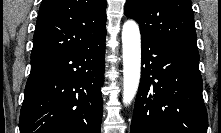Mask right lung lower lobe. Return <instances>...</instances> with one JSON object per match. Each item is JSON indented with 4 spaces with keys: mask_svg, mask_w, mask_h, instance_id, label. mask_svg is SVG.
I'll use <instances>...</instances> for the list:
<instances>
[{
    "mask_svg": "<svg viewBox=\"0 0 221 133\" xmlns=\"http://www.w3.org/2000/svg\"><path fill=\"white\" fill-rule=\"evenodd\" d=\"M105 36L31 58L20 133H100Z\"/></svg>",
    "mask_w": 221,
    "mask_h": 133,
    "instance_id": "right-lung-lower-lobe-1",
    "label": "right lung lower lobe"
}]
</instances>
